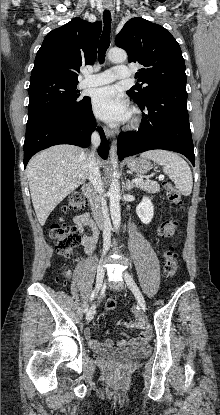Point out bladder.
<instances>
[{"instance_id":"obj_1","label":"bladder","mask_w":220,"mask_h":415,"mask_svg":"<svg viewBox=\"0 0 220 415\" xmlns=\"http://www.w3.org/2000/svg\"><path fill=\"white\" fill-rule=\"evenodd\" d=\"M150 352V347L147 345L130 347L125 349H110L101 350L99 355L107 360L124 363L135 359L143 358Z\"/></svg>"}]
</instances>
